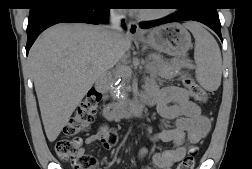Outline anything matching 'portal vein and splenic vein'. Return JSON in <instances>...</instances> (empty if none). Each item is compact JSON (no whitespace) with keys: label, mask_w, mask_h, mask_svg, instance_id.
Instances as JSON below:
<instances>
[{"label":"portal vein and splenic vein","mask_w":252,"mask_h":169,"mask_svg":"<svg viewBox=\"0 0 252 169\" xmlns=\"http://www.w3.org/2000/svg\"><path fill=\"white\" fill-rule=\"evenodd\" d=\"M185 61H186V62H190L189 59H186ZM187 65L190 66L189 63H187ZM119 70H120V72H123L124 75H131L132 72H133V71H132V68L129 67V66H126V65L120 66V67H119Z\"/></svg>","instance_id":"18ae733b"}]
</instances>
